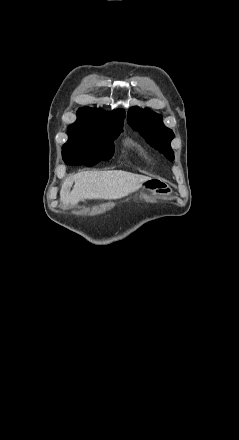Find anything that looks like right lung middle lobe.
<instances>
[{
  "label": "right lung middle lobe",
  "instance_id": "1",
  "mask_svg": "<svg viewBox=\"0 0 239 440\" xmlns=\"http://www.w3.org/2000/svg\"><path fill=\"white\" fill-rule=\"evenodd\" d=\"M122 126L97 121H80L68 127V141L63 151L77 147H94L114 151V140L119 136Z\"/></svg>",
  "mask_w": 239,
  "mask_h": 440
}]
</instances>
